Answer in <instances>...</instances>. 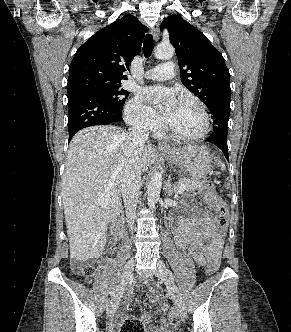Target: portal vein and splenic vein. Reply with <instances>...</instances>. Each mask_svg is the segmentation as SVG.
<instances>
[{
  "label": "portal vein and splenic vein",
  "instance_id": "1",
  "mask_svg": "<svg viewBox=\"0 0 291 332\" xmlns=\"http://www.w3.org/2000/svg\"><path fill=\"white\" fill-rule=\"evenodd\" d=\"M185 188H186L185 184H181L178 192H179L180 194L183 193L184 190H185Z\"/></svg>",
  "mask_w": 291,
  "mask_h": 332
}]
</instances>
